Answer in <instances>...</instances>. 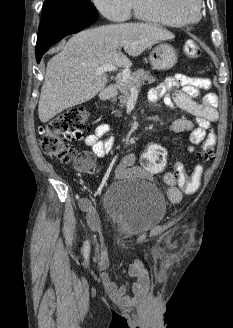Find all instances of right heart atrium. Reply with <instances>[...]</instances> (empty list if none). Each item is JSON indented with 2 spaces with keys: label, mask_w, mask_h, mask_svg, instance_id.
I'll use <instances>...</instances> for the list:
<instances>
[{
  "label": "right heart atrium",
  "mask_w": 233,
  "mask_h": 328,
  "mask_svg": "<svg viewBox=\"0 0 233 328\" xmlns=\"http://www.w3.org/2000/svg\"><path fill=\"white\" fill-rule=\"evenodd\" d=\"M98 12L113 22L129 19L133 0H91Z\"/></svg>",
  "instance_id": "obj_1"
}]
</instances>
